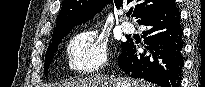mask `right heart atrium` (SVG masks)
Wrapping results in <instances>:
<instances>
[{
	"label": "right heart atrium",
	"mask_w": 205,
	"mask_h": 87,
	"mask_svg": "<svg viewBox=\"0 0 205 87\" xmlns=\"http://www.w3.org/2000/svg\"><path fill=\"white\" fill-rule=\"evenodd\" d=\"M68 68L89 74L102 70L107 64V42L92 32H82L71 38L67 48Z\"/></svg>",
	"instance_id": "obj_1"
}]
</instances>
